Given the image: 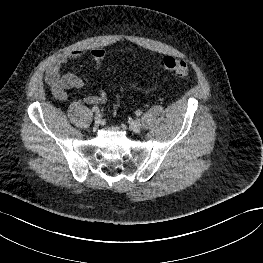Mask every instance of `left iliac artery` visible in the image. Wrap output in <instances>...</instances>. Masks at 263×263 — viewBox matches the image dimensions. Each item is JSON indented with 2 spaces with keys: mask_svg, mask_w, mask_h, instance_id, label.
<instances>
[{
  "mask_svg": "<svg viewBox=\"0 0 263 263\" xmlns=\"http://www.w3.org/2000/svg\"><path fill=\"white\" fill-rule=\"evenodd\" d=\"M141 111L140 110H137L136 112H135V114L137 115V116H140L141 115Z\"/></svg>",
  "mask_w": 263,
  "mask_h": 263,
  "instance_id": "obj_1",
  "label": "left iliac artery"
}]
</instances>
